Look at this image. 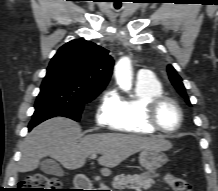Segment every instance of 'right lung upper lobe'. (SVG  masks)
<instances>
[{
    "instance_id": "right-lung-upper-lobe-1",
    "label": "right lung upper lobe",
    "mask_w": 218,
    "mask_h": 191,
    "mask_svg": "<svg viewBox=\"0 0 218 191\" xmlns=\"http://www.w3.org/2000/svg\"><path fill=\"white\" fill-rule=\"evenodd\" d=\"M113 64L108 50L93 42L75 39L57 51L48 69L61 71L86 87L103 90L109 82Z\"/></svg>"
}]
</instances>
